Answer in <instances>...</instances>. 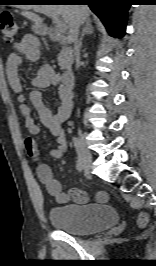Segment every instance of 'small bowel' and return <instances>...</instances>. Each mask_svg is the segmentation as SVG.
I'll use <instances>...</instances> for the list:
<instances>
[{
    "instance_id": "c3829d8e",
    "label": "small bowel",
    "mask_w": 156,
    "mask_h": 266,
    "mask_svg": "<svg viewBox=\"0 0 156 266\" xmlns=\"http://www.w3.org/2000/svg\"><path fill=\"white\" fill-rule=\"evenodd\" d=\"M15 48L16 52L11 53L7 57L5 72L9 86L17 95L19 109L24 117V125L29 133V136L24 140V148L27 155L36 165L37 178L58 204H66L70 200L78 204L88 203L89 197L83 190L71 188L68 192H63L61 184L54 178L50 166L42 161L37 142L33 138V136L39 133L40 128L31 116V108L26 102L28 99L32 107L36 110L40 122L57 138L58 147L52 150L50 155L53 158H60L67 149L64 122L69 118L72 111L71 92L60 87L58 93L59 103L57 111L54 114L45 105L40 90L56 84L58 77L49 66H42L33 79V85L37 90L26 95L22 91L19 69L23 62L22 55H25L29 60H36L39 57L37 39L34 36L25 35L15 45ZM95 200L99 203H105L108 200V194L105 191H99L95 195Z\"/></svg>"
}]
</instances>
